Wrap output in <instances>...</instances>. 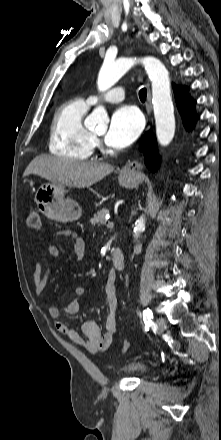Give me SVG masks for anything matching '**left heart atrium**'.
I'll return each mask as SVG.
<instances>
[{
	"mask_svg": "<svg viewBox=\"0 0 221 440\" xmlns=\"http://www.w3.org/2000/svg\"><path fill=\"white\" fill-rule=\"evenodd\" d=\"M143 126L141 114L131 106L117 109L111 117L105 142L116 149L124 148L138 137Z\"/></svg>",
	"mask_w": 221,
	"mask_h": 440,
	"instance_id": "left-heart-atrium-1",
	"label": "left heart atrium"
}]
</instances>
